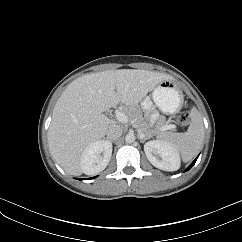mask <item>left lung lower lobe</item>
<instances>
[{"label": "left lung lower lobe", "mask_w": 242, "mask_h": 242, "mask_svg": "<svg viewBox=\"0 0 242 242\" xmlns=\"http://www.w3.org/2000/svg\"><path fill=\"white\" fill-rule=\"evenodd\" d=\"M198 158V157H197ZM197 158L190 164V166L185 170V171H188L196 162Z\"/></svg>", "instance_id": "0a47b994"}]
</instances>
